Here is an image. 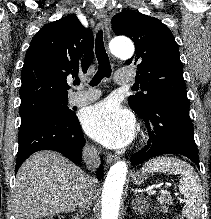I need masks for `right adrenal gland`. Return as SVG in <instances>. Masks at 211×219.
<instances>
[{
  "instance_id": "obj_1",
  "label": "right adrenal gland",
  "mask_w": 211,
  "mask_h": 219,
  "mask_svg": "<svg viewBox=\"0 0 211 219\" xmlns=\"http://www.w3.org/2000/svg\"><path fill=\"white\" fill-rule=\"evenodd\" d=\"M82 217V211H80V215L76 214L75 216H72V219H81Z\"/></svg>"
}]
</instances>
